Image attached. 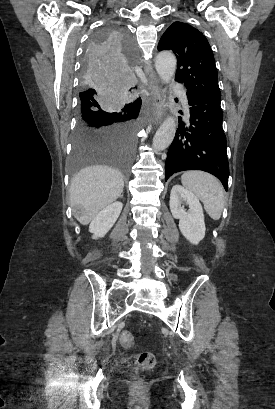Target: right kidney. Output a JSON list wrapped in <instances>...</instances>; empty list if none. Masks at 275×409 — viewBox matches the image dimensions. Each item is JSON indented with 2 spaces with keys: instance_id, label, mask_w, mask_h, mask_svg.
I'll list each match as a JSON object with an SVG mask.
<instances>
[{
  "instance_id": "obj_1",
  "label": "right kidney",
  "mask_w": 275,
  "mask_h": 409,
  "mask_svg": "<svg viewBox=\"0 0 275 409\" xmlns=\"http://www.w3.org/2000/svg\"><path fill=\"white\" fill-rule=\"evenodd\" d=\"M122 202L116 200L112 202V205L105 207L103 211H100L89 225V233H93L92 239H99V237H105L106 233L112 229L114 223H116L121 211Z\"/></svg>"
}]
</instances>
